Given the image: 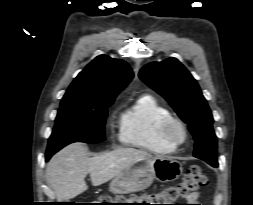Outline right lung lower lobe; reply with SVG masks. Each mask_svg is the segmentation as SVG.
<instances>
[{
    "label": "right lung lower lobe",
    "instance_id": "right-lung-lower-lobe-1",
    "mask_svg": "<svg viewBox=\"0 0 253 205\" xmlns=\"http://www.w3.org/2000/svg\"><path fill=\"white\" fill-rule=\"evenodd\" d=\"M54 153L55 152H46V161H48Z\"/></svg>",
    "mask_w": 253,
    "mask_h": 205
}]
</instances>
